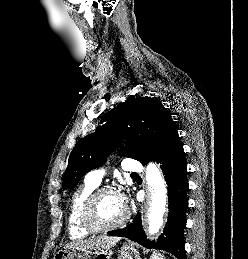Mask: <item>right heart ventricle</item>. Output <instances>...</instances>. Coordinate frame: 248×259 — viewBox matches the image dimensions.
I'll return each mask as SVG.
<instances>
[{
	"instance_id": "obj_1",
	"label": "right heart ventricle",
	"mask_w": 248,
	"mask_h": 259,
	"mask_svg": "<svg viewBox=\"0 0 248 259\" xmlns=\"http://www.w3.org/2000/svg\"><path fill=\"white\" fill-rule=\"evenodd\" d=\"M98 185L84 181L72 194L69 203L67 225L69 234L73 238H81L87 236L91 231L87 230L80 219L82 205L88 195L97 188Z\"/></svg>"
}]
</instances>
